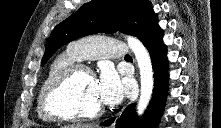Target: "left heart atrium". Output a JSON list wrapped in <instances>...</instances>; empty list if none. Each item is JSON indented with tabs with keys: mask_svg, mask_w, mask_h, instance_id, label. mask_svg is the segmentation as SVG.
Segmentation results:
<instances>
[{
	"mask_svg": "<svg viewBox=\"0 0 221 128\" xmlns=\"http://www.w3.org/2000/svg\"><path fill=\"white\" fill-rule=\"evenodd\" d=\"M95 84L103 104L115 105L121 101L123 84L111 68L104 67L99 79L95 80ZM126 86H129V83L126 82Z\"/></svg>",
	"mask_w": 221,
	"mask_h": 128,
	"instance_id": "39dd6f15",
	"label": "left heart atrium"
}]
</instances>
